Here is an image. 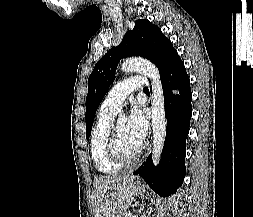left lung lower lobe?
Listing matches in <instances>:
<instances>
[{"label":"left lung lower lobe","instance_id":"0a47b994","mask_svg":"<svg viewBox=\"0 0 253 217\" xmlns=\"http://www.w3.org/2000/svg\"><path fill=\"white\" fill-rule=\"evenodd\" d=\"M160 76L167 118L161 159L154 167L149 155L133 174L141 176L156 193L166 197L176 192L185 177V141L192 115V93L184 63L178 54L163 68Z\"/></svg>","mask_w":253,"mask_h":217}]
</instances>
